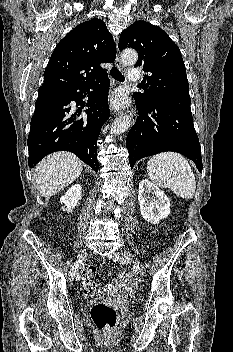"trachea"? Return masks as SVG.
<instances>
[{"label": "trachea", "instance_id": "3493384b", "mask_svg": "<svg viewBox=\"0 0 233 352\" xmlns=\"http://www.w3.org/2000/svg\"><path fill=\"white\" fill-rule=\"evenodd\" d=\"M111 76L117 81L123 82L125 80L124 76L117 68H112L110 71Z\"/></svg>", "mask_w": 233, "mask_h": 352}]
</instances>
